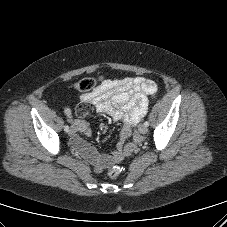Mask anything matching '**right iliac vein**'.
I'll return each mask as SVG.
<instances>
[{
	"mask_svg": "<svg viewBox=\"0 0 227 227\" xmlns=\"http://www.w3.org/2000/svg\"><path fill=\"white\" fill-rule=\"evenodd\" d=\"M74 133H75V128L72 127V128L69 130V135L72 136Z\"/></svg>",
	"mask_w": 227,
	"mask_h": 227,
	"instance_id": "63e3f726",
	"label": "right iliac vein"
}]
</instances>
